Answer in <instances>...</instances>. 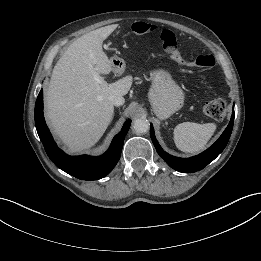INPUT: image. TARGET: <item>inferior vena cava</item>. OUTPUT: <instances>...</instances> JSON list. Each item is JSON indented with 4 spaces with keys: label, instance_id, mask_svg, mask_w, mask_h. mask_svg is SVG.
<instances>
[{
    "label": "inferior vena cava",
    "instance_id": "obj_1",
    "mask_svg": "<svg viewBox=\"0 0 261 261\" xmlns=\"http://www.w3.org/2000/svg\"><path fill=\"white\" fill-rule=\"evenodd\" d=\"M109 101L115 106H121L125 102L123 96L121 95H111L109 96Z\"/></svg>",
    "mask_w": 261,
    "mask_h": 261
}]
</instances>
